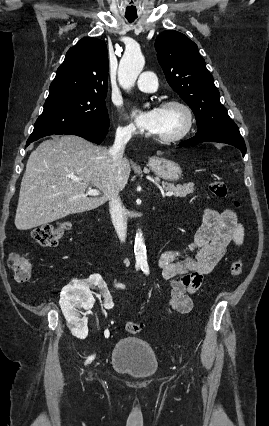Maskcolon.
I'll return each mask as SVG.
<instances>
[{"instance_id": "1", "label": "colon", "mask_w": 269, "mask_h": 426, "mask_svg": "<svg viewBox=\"0 0 269 426\" xmlns=\"http://www.w3.org/2000/svg\"><path fill=\"white\" fill-rule=\"evenodd\" d=\"M208 187L210 192L218 198H224L227 195V187L224 182L211 181ZM234 205L237 206L238 202L234 201ZM69 229L70 224L68 222H59L54 225H42L34 231L33 238L36 243L42 247H53L58 244L59 240ZM7 262L16 281L26 282L30 279L32 265L25 255L11 253L7 258ZM242 269L243 261L237 259L231 264L230 273L233 277H236L242 272ZM125 328L128 333L137 334L140 332L142 326L137 322H127Z\"/></svg>"}]
</instances>
